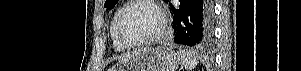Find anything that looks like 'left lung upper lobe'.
<instances>
[{"mask_svg": "<svg viewBox=\"0 0 301 71\" xmlns=\"http://www.w3.org/2000/svg\"><path fill=\"white\" fill-rule=\"evenodd\" d=\"M164 1L167 2L168 0H164ZM117 2L118 0H106L104 7L110 10L115 6Z\"/></svg>", "mask_w": 301, "mask_h": 71, "instance_id": "obj_1", "label": "left lung upper lobe"}]
</instances>
